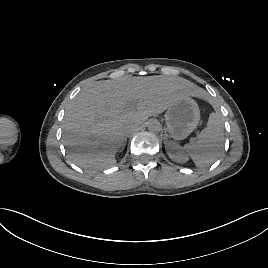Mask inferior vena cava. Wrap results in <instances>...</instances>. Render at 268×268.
Returning a JSON list of instances; mask_svg holds the SVG:
<instances>
[{
	"label": "inferior vena cava",
	"instance_id": "inferior-vena-cava-1",
	"mask_svg": "<svg viewBox=\"0 0 268 268\" xmlns=\"http://www.w3.org/2000/svg\"><path fill=\"white\" fill-rule=\"evenodd\" d=\"M135 128L136 127L133 126V125H128V126L125 127V133L129 134V133L133 132L135 130Z\"/></svg>",
	"mask_w": 268,
	"mask_h": 268
}]
</instances>
